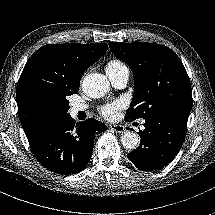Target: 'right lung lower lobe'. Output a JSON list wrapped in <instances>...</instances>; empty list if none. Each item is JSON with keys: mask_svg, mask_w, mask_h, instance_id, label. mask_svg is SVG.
<instances>
[{"mask_svg": "<svg viewBox=\"0 0 215 215\" xmlns=\"http://www.w3.org/2000/svg\"><path fill=\"white\" fill-rule=\"evenodd\" d=\"M107 126L94 118L75 125L70 115L53 126L31 149L35 158L48 170L70 175L80 172L90 161L94 136Z\"/></svg>", "mask_w": 215, "mask_h": 215, "instance_id": "obj_1", "label": "right lung lower lobe"}]
</instances>
